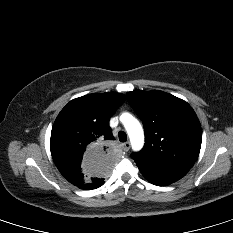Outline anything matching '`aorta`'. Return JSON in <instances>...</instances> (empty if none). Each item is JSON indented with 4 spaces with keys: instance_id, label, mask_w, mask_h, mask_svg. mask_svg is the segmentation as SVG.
Masks as SVG:
<instances>
[{
    "instance_id": "obj_1",
    "label": "aorta",
    "mask_w": 233,
    "mask_h": 233,
    "mask_svg": "<svg viewBox=\"0 0 233 233\" xmlns=\"http://www.w3.org/2000/svg\"><path fill=\"white\" fill-rule=\"evenodd\" d=\"M132 145L134 151H139L144 145V132L140 122L129 113H125L120 117Z\"/></svg>"
}]
</instances>
